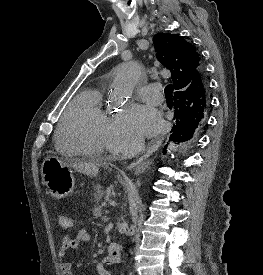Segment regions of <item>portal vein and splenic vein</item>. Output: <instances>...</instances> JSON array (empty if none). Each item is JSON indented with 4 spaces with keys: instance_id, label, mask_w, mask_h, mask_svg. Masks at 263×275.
I'll use <instances>...</instances> for the list:
<instances>
[{
    "instance_id": "1",
    "label": "portal vein and splenic vein",
    "mask_w": 263,
    "mask_h": 275,
    "mask_svg": "<svg viewBox=\"0 0 263 275\" xmlns=\"http://www.w3.org/2000/svg\"><path fill=\"white\" fill-rule=\"evenodd\" d=\"M102 219L103 221H108V218L106 216H104Z\"/></svg>"
}]
</instances>
